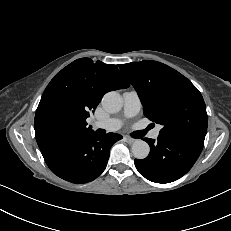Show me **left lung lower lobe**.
Returning a JSON list of instances; mask_svg holds the SVG:
<instances>
[{
    "mask_svg": "<svg viewBox=\"0 0 231 231\" xmlns=\"http://www.w3.org/2000/svg\"><path fill=\"white\" fill-rule=\"evenodd\" d=\"M204 139L203 135L189 132L159 134L157 142L145 138L150 153L143 160L135 159V166L152 182H173L192 168L203 149Z\"/></svg>",
    "mask_w": 231,
    "mask_h": 231,
    "instance_id": "0a47b994",
    "label": "left lung lower lobe"
}]
</instances>
